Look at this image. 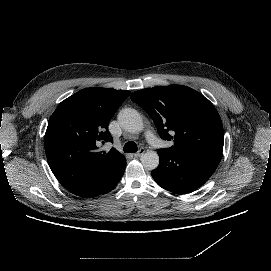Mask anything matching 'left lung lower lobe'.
Returning <instances> with one entry per match:
<instances>
[{
    "label": "left lung lower lobe",
    "instance_id": "0a47b994",
    "mask_svg": "<svg viewBox=\"0 0 271 271\" xmlns=\"http://www.w3.org/2000/svg\"><path fill=\"white\" fill-rule=\"evenodd\" d=\"M159 166L152 177L162 188L178 193H190L202 186L216 170L220 158L193 151L160 149Z\"/></svg>",
    "mask_w": 271,
    "mask_h": 271
}]
</instances>
